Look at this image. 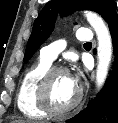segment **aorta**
<instances>
[{
  "instance_id": "obj_1",
  "label": "aorta",
  "mask_w": 118,
  "mask_h": 123,
  "mask_svg": "<svg viewBox=\"0 0 118 123\" xmlns=\"http://www.w3.org/2000/svg\"><path fill=\"white\" fill-rule=\"evenodd\" d=\"M84 14L97 35L98 64L96 69V86L98 89H101L106 81L112 58V39L108 27L98 14L91 11H85Z\"/></svg>"
}]
</instances>
